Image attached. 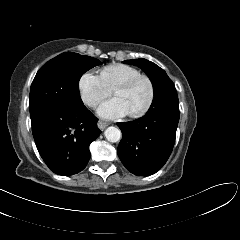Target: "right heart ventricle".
Returning <instances> with one entry per match:
<instances>
[{"instance_id": "right-heart-ventricle-1", "label": "right heart ventricle", "mask_w": 240, "mask_h": 240, "mask_svg": "<svg viewBox=\"0 0 240 240\" xmlns=\"http://www.w3.org/2000/svg\"><path fill=\"white\" fill-rule=\"evenodd\" d=\"M140 75L141 72L138 69L122 63L108 65L100 72L101 78L111 89H115L119 84Z\"/></svg>"}]
</instances>
